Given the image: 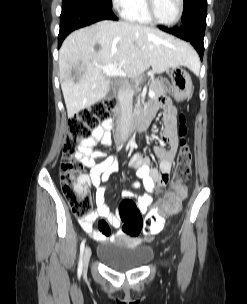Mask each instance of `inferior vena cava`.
Wrapping results in <instances>:
<instances>
[{"label":"inferior vena cava","mask_w":247,"mask_h":304,"mask_svg":"<svg viewBox=\"0 0 247 304\" xmlns=\"http://www.w3.org/2000/svg\"><path fill=\"white\" fill-rule=\"evenodd\" d=\"M118 101L121 108L119 117L120 137L122 141H126L132 126L133 107V90L127 81L118 90Z\"/></svg>","instance_id":"1"}]
</instances>
